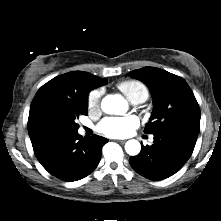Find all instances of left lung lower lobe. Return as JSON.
Here are the masks:
<instances>
[{"mask_svg": "<svg viewBox=\"0 0 221 221\" xmlns=\"http://www.w3.org/2000/svg\"><path fill=\"white\" fill-rule=\"evenodd\" d=\"M153 135L154 144L143 146L129 162L143 177L158 181L181 169L191 157L198 136L179 129H166Z\"/></svg>", "mask_w": 221, "mask_h": 221, "instance_id": "0a47b994", "label": "left lung lower lobe"}]
</instances>
